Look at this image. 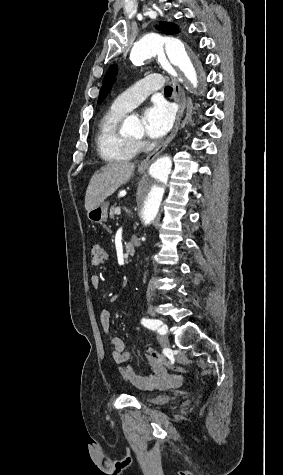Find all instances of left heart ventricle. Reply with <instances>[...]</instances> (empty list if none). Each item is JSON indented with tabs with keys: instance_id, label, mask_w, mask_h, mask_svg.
Returning a JSON list of instances; mask_svg holds the SVG:
<instances>
[{
	"instance_id": "1",
	"label": "left heart ventricle",
	"mask_w": 283,
	"mask_h": 475,
	"mask_svg": "<svg viewBox=\"0 0 283 475\" xmlns=\"http://www.w3.org/2000/svg\"><path fill=\"white\" fill-rule=\"evenodd\" d=\"M142 135H143V128L139 132H137L136 134H134L132 136H129V138L137 139V138H140Z\"/></svg>"
}]
</instances>
